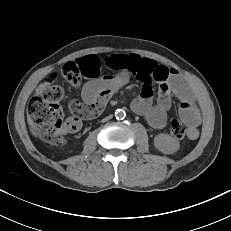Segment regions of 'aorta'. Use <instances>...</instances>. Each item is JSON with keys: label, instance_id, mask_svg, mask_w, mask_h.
I'll use <instances>...</instances> for the list:
<instances>
[{"label": "aorta", "instance_id": "obj_1", "mask_svg": "<svg viewBox=\"0 0 231 231\" xmlns=\"http://www.w3.org/2000/svg\"><path fill=\"white\" fill-rule=\"evenodd\" d=\"M126 115L125 111L121 110V109H118L116 112H115V117L117 119H122L124 118Z\"/></svg>", "mask_w": 231, "mask_h": 231}]
</instances>
